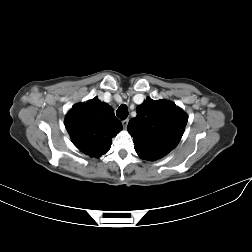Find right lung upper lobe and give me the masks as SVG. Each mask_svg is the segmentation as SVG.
Segmentation results:
<instances>
[{"label": "right lung upper lobe", "mask_w": 252, "mask_h": 252, "mask_svg": "<svg viewBox=\"0 0 252 252\" xmlns=\"http://www.w3.org/2000/svg\"><path fill=\"white\" fill-rule=\"evenodd\" d=\"M65 127L74 145L91 157L107 153L111 139L122 130L112 107L97 97L74 105L66 115Z\"/></svg>", "instance_id": "right-lung-upper-lobe-1"}]
</instances>
